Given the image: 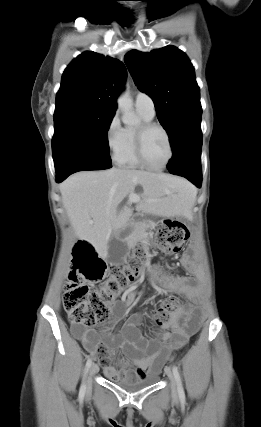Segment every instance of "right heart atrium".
<instances>
[{"mask_svg":"<svg viewBox=\"0 0 261 427\" xmlns=\"http://www.w3.org/2000/svg\"><path fill=\"white\" fill-rule=\"evenodd\" d=\"M124 128L121 126L118 114L109 120L105 130V141L109 152L115 158L123 145Z\"/></svg>","mask_w":261,"mask_h":427,"instance_id":"d8ad5b80","label":"right heart atrium"}]
</instances>
